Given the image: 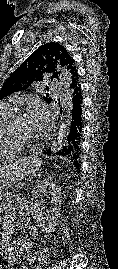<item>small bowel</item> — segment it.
I'll list each match as a JSON object with an SVG mask.
<instances>
[{"mask_svg": "<svg viewBox=\"0 0 118 269\" xmlns=\"http://www.w3.org/2000/svg\"><path fill=\"white\" fill-rule=\"evenodd\" d=\"M15 200L5 202L3 209H0V215L3 216L2 222V235H1V245H0V254L4 255L5 264L13 265L18 262V260L26 256L31 249V243L28 241H22L17 246L11 244L12 231H13V222L15 218ZM34 236H38V231L36 229L32 230ZM0 269H3L0 266Z\"/></svg>", "mask_w": 118, "mask_h": 269, "instance_id": "1", "label": "small bowel"}]
</instances>
